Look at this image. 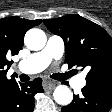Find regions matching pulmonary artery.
<instances>
[{"label": "pulmonary artery", "instance_id": "1", "mask_svg": "<svg viewBox=\"0 0 112 112\" xmlns=\"http://www.w3.org/2000/svg\"><path fill=\"white\" fill-rule=\"evenodd\" d=\"M64 52V42L58 36H50L46 46L39 52L21 60L16 68L25 74H35L44 70L53 60L61 58ZM86 83L83 76H76L71 81V86L75 89L82 88Z\"/></svg>", "mask_w": 112, "mask_h": 112}]
</instances>
